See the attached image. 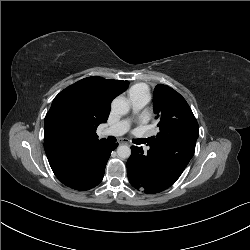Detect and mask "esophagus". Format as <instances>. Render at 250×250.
Returning <instances> with one entry per match:
<instances>
[{
	"instance_id": "obj_1",
	"label": "esophagus",
	"mask_w": 250,
	"mask_h": 250,
	"mask_svg": "<svg viewBox=\"0 0 250 250\" xmlns=\"http://www.w3.org/2000/svg\"><path fill=\"white\" fill-rule=\"evenodd\" d=\"M119 144H129V141L126 138H122L119 140Z\"/></svg>"
}]
</instances>
